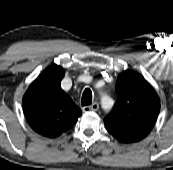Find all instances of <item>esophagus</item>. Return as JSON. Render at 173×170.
Instances as JSON below:
<instances>
[{"label":"esophagus","mask_w":173,"mask_h":170,"mask_svg":"<svg viewBox=\"0 0 173 170\" xmlns=\"http://www.w3.org/2000/svg\"><path fill=\"white\" fill-rule=\"evenodd\" d=\"M98 109H99V104L97 102H94L90 106H84L82 108L83 112L97 111Z\"/></svg>","instance_id":"esophagus-1"}]
</instances>
